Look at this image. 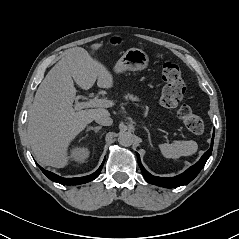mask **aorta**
<instances>
[{
	"label": "aorta",
	"instance_id": "aorta-1",
	"mask_svg": "<svg viewBox=\"0 0 239 239\" xmlns=\"http://www.w3.org/2000/svg\"><path fill=\"white\" fill-rule=\"evenodd\" d=\"M118 142L124 147L131 146L134 142V135L129 131H122L119 133Z\"/></svg>",
	"mask_w": 239,
	"mask_h": 239
}]
</instances>
